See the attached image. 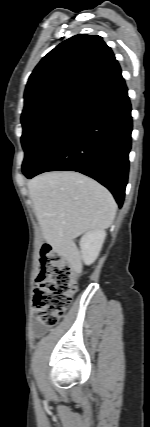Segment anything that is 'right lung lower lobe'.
<instances>
[{"instance_id":"98d812e1","label":"right lung lower lobe","mask_w":150,"mask_h":427,"mask_svg":"<svg viewBox=\"0 0 150 427\" xmlns=\"http://www.w3.org/2000/svg\"><path fill=\"white\" fill-rule=\"evenodd\" d=\"M131 132V104L122 78L79 107L27 178L47 171H77L107 187L121 207Z\"/></svg>"}]
</instances>
